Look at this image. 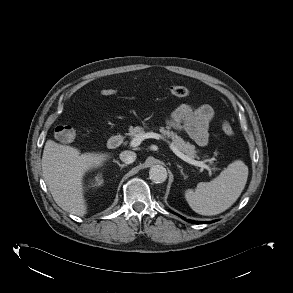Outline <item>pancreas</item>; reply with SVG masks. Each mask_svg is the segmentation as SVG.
I'll return each mask as SVG.
<instances>
[{
    "instance_id": "1",
    "label": "pancreas",
    "mask_w": 293,
    "mask_h": 293,
    "mask_svg": "<svg viewBox=\"0 0 293 293\" xmlns=\"http://www.w3.org/2000/svg\"><path fill=\"white\" fill-rule=\"evenodd\" d=\"M159 131L162 135L170 138L174 146L177 147L179 151H181L182 153H185L190 158L197 157V154H196L197 151L195 150V146L190 144L189 142L184 141L183 138L178 136L176 132L166 129L164 127H160ZM141 133L142 134L145 133L144 128L140 126H136V127L130 126L128 135L131 138H133Z\"/></svg>"
}]
</instances>
